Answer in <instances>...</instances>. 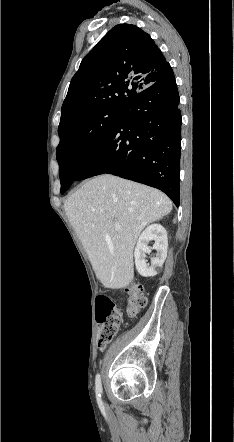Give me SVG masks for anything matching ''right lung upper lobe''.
Returning <instances> with one entry per match:
<instances>
[{"label":"right lung upper lobe","instance_id":"cb5924a9","mask_svg":"<svg viewBox=\"0 0 234 442\" xmlns=\"http://www.w3.org/2000/svg\"><path fill=\"white\" fill-rule=\"evenodd\" d=\"M169 66L153 39L130 24L113 27L83 58L61 109L58 133L101 109L121 107Z\"/></svg>","mask_w":234,"mask_h":442}]
</instances>
